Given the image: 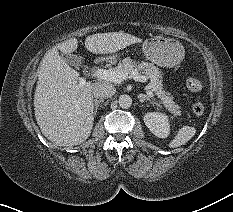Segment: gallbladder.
<instances>
[{"label":"gallbladder","mask_w":233,"mask_h":212,"mask_svg":"<svg viewBox=\"0 0 233 212\" xmlns=\"http://www.w3.org/2000/svg\"><path fill=\"white\" fill-rule=\"evenodd\" d=\"M62 57L67 63H69L72 66L78 67L82 64L81 58L74 54L67 53L62 55Z\"/></svg>","instance_id":"1"}]
</instances>
